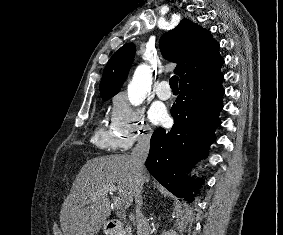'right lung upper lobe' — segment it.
<instances>
[{"mask_svg":"<svg viewBox=\"0 0 283 235\" xmlns=\"http://www.w3.org/2000/svg\"><path fill=\"white\" fill-rule=\"evenodd\" d=\"M159 44L163 56L177 63L175 73L180 76V85L207 77L220 70L224 63L218 52L219 44L210 32L188 19H183L176 28L164 34ZM134 52V44H126L108 61L100 82L103 100L119 92Z\"/></svg>","mask_w":283,"mask_h":235,"instance_id":"right-lung-upper-lobe-1","label":"right lung upper lobe"}]
</instances>
